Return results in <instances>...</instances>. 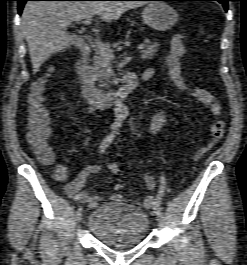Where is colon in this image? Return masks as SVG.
I'll return each instance as SVG.
<instances>
[{"label": "colon", "mask_w": 247, "mask_h": 265, "mask_svg": "<svg viewBox=\"0 0 247 265\" xmlns=\"http://www.w3.org/2000/svg\"><path fill=\"white\" fill-rule=\"evenodd\" d=\"M185 37L182 34L176 35L170 46L167 57V65L174 82L179 88L188 91L205 105L209 106L216 101L215 96L199 87H191L184 80L181 74L182 59L185 54ZM45 78L39 79L31 88L28 96V133L27 140L33 147L40 161L49 163L53 160V150L49 145V119L44 106ZM225 129L222 119H216L211 127L208 140L197 150L194 160H200L218 142ZM108 169L112 174H118V165L114 162L108 164Z\"/></svg>", "instance_id": "colon-1"}]
</instances>
